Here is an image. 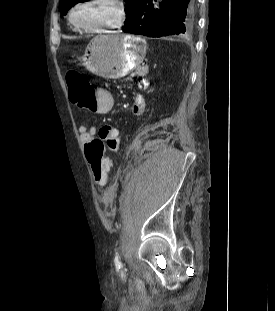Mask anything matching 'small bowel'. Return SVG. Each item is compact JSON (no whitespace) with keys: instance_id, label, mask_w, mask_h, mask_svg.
Instances as JSON below:
<instances>
[{"instance_id":"small-bowel-1","label":"small bowel","mask_w":275,"mask_h":311,"mask_svg":"<svg viewBox=\"0 0 275 311\" xmlns=\"http://www.w3.org/2000/svg\"><path fill=\"white\" fill-rule=\"evenodd\" d=\"M140 92L148 93L149 87H152V80H141L140 82ZM113 107V99L111 94L105 90L100 89L97 91L96 97L89 103V105H84V112H93L95 114H106ZM144 108V100L140 94H136L133 101V112L134 114L142 113ZM80 139L83 143H87L94 136L99 135L103 139L110 149L116 150L118 148V134L119 130L116 126L105 125L101 128L91 125L87 126L82 123L79 127Z\"/></svg>"}]
</instances>
